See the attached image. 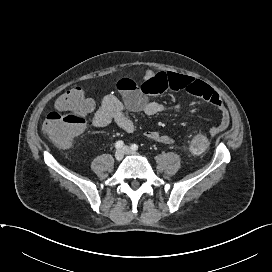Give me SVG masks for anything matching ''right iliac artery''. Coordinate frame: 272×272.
<instances>
[{
	"instance_id": "obj_1",
	"label": "right iliac artery",
	"mask_w": 272,
	"mask_h": 272,
	"mask_svg": "<svg viewBox=\"0 0 272 272\" xmlns=\"http://www.w3.org/2000/svg\"><path fill=\"white\" fill-rule=\"evenodd\" d=\"M123 145H124L123 141H117L116 144H115V147H116L117 149H119V148H122Z\"/></svg>"
}]
</instances>
